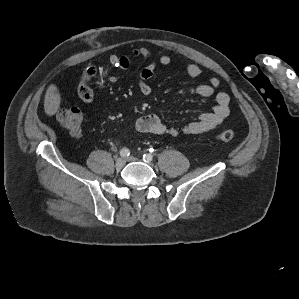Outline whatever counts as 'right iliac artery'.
Wrapping results in <instances>:
<instances>
[{
  "mask_svg": "<svg viewBox=\"0 0 299 299\" xmlns=\"http://www.w3.org/2000/svg\"><path fill=\"white\" fill-rule=\"evenodd\" d=\"M130 155V150L127 149V148H123L121 151H120V156L121 157H128Z\"/></svg>",
  "mask_w": 299,
  "mask_h": 299,
  "instance_id": "1",
  "label": "right iliac artery"
}]
</instances>
